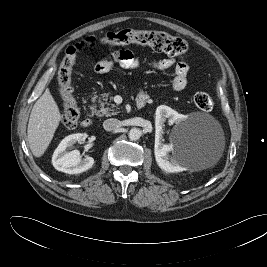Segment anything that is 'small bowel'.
Returning a JSON list of instances; mask_svg holds the SVG:
<instances>
[{"label":"small bowel","mask_w":267,"mask_h":267,"mask_svg":"<svg viewBox=\"0 0 267 267\" xmlns=\"http://www.w3.org/2000/svg\"><path fill=\"white\" fill-rule=\"evenodd\" d=\"M94 48L95 47H90L88 49ZM116 65L124 69H136L139 67L140 63L134 54L129 50H112L94 65V71L99 75L106 74ZM150 67L158 71H164L171 67H175L171 89L173 91H181L186 87L187 75L189 72V67L187 64L176 63L175 59L168 57L152 61L150 63Z\"/></svg>","instance_id":"obj_1"}]
</instances>
